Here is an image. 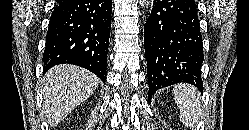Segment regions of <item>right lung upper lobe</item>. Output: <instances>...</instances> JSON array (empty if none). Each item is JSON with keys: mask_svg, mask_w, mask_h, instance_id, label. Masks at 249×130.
<instances>
[{"mask_svg": "<svg viewBox=\"0 0 249 130\" xmlns=\"http://www.w3.org/2000/svg\"><path fill=\"white\" fill-rule=\"evenodd\" d=\"M64 1H65V0H60V1H59V4L62 3V2H64Z\"/></svg>", "mask_w": 249, "mask_h": 130, "instance_id": "right-lung-upper-lobe-1", "label": "right lung upper lobe"}]
</instances>
